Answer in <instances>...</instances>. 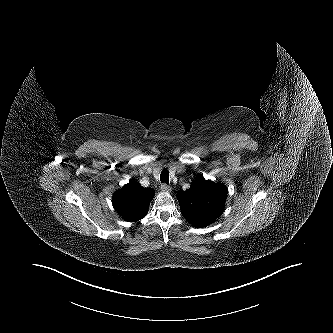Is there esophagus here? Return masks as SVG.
<instances>
[{
  "label": "esophagus",
  "mask_w": 333,
  "mask_h": 333,
  "mask_svg": "<svg viewBox=\"0 0 333 333\" xmlns=\"http://www.w3.org/2000/svg\"><path fill=\"white\" fill-rule=\"evenodd\" d=\"M161 189L164 192H170L171 191V187L169 185L165 184V183L161 185Z\"/></svg>",
  "instance_id": "obj_1"
}]
</instances>
